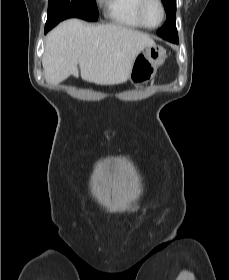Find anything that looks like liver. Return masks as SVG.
<instances>
[{"label":"liver","mask_w":229,"mask_h":280,"mask_svg":"<svg viewBox=\"0 0 229 280\" xmlns=\"http://www.w3.org/2000/svg\"><path fill=\"white\" fill-rule=\"evenodd\" d=\"M155 42L147 34L114 24L90 25L79 19L52 29L42 58L47 83L57 85L70 75L97 85L129 79L135 58Z\"/></svg>","instance_id":"6515ba94"}]
</instances>
